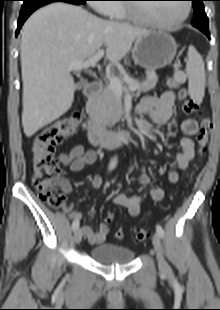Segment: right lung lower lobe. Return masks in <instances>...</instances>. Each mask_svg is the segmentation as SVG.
<instances>
[{"mask_svg":"<svg viewBox=\"0 0 220 310\" xmlns=\"http://www.w3.org/2000/svg\"><path fill=\"white\" fill-rule=\"evenodd\" d=\"M55 1H63V2H67V3L80 5V4L85 3L86 0H40V1H36V2H31V3L25 2L22 5L21 11H20L16 36L18 35L19 30H20L21 26L23 25V23L30 16V14L32 12H34L36 9H38L41 6H44L48 3L55 2Z\"/></svg>","mask_w":220,"mask_h":310,"instance_id":"98d812e1","label":"right lung lower lobe"}]
</instances>
